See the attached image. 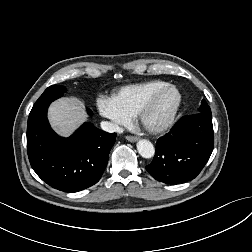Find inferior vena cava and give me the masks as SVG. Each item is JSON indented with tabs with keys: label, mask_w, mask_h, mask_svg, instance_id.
<instances>
[{
	"label": "inferior vena cava",
	"mask_w": 252,
	"mask_h": 252,
	"mask_svg": "<svg viewBox=\"0 0 252 252\" xmlns=\"http://www.w3.org/2000/svg\"><path fill=\"white\" fill-rule=\"evenodd\" d=\"M101 128L102 130L109 132V133H122L123 130L121 127H119L117 124L113 123V122H109V121H102L101 122Z\"/></svg>",
	"instance_id": "inferior-vena-cava-1"
}]
</instances>
